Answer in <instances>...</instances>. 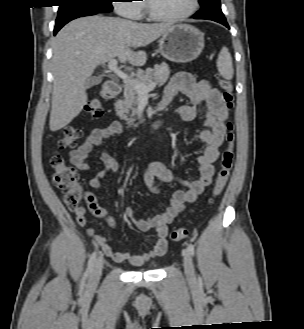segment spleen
I'll return each instance as SVG.
<instances>
[{
	"mask_svg": "<svg viewBox=\"0 0 304 329\" xmlns=\"http://www.w3.org/2000/svg\"><path fill=\"white\" fill-rule=\"evenodd\" d=\"M217 67L223 78L228 80L233 78L232 57L226 47H223L218 55Z\"/></svg>",
	"mask_w": 304,
	"mask_h": 329,
	"instance_id": "1",
	"label": "spleen"
}]
</instances>
